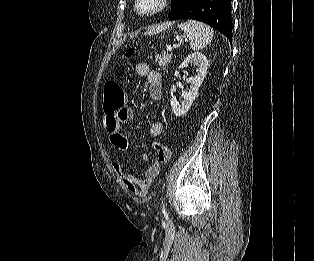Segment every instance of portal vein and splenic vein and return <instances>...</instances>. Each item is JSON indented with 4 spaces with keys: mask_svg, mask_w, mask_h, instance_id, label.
<instances>
[{
    "mask_svg": "<svg viewBox=\"0 0 314 261\" xmlns=\"http://www.w3.org/2000/svg\"><path fill=\"white\" fill-rule=\"evenodd\" d=\"M167 51H172V47L171 46H167Z\"/></svg>",
    "mask_w": 314,
    "mask_h": 261,
    "instance_id": "portal-vein-and-splenic-vein-1",
    "label": "portal vein and splenic vein"
}]
</instances>
